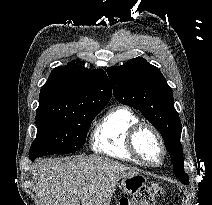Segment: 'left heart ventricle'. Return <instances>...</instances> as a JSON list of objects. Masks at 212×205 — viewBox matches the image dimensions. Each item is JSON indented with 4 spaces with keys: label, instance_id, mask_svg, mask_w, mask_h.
<instances>
[{
    "label": "left heart ventricle",
    "instance_id": "1",
    "mask_svg": "<svg viewBox=\"0 0 212 205\" xmlns=\"http://www.w3.org/2000/svg\"><path fill=\"white\" fill-rule=\"evenodd\" d=\"M138 147L141 153L151 161H158L160 158V149L156 141L148 132H143L138 138Z\"/></svg>",
    "mask_w": 212,
    "mask_h": 205
}]
</instances>
